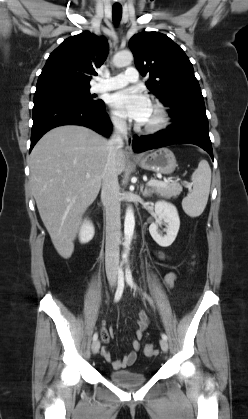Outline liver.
I'll list each match as a JSON object with an SVG mask.
<instances>
[{
	"label": "liver",
	"mask_w": 248,
	"mask_h": 419,
	"mask_svg": "<svg viewBox=\"0 0 248 419\" xmlns=\"http://www.w3.org/2000/svg\"><path fill=\"white\" fill-rule=\"evenodd\" d=\"M108 157V141L93 130L76 125L47 132L30 155V187L52 243L70 258L82 214L96 199ZM126 156L116 157L117 173Z\"/></svg>",
	"instance_id": "6515ba94"
}]
</instances>
